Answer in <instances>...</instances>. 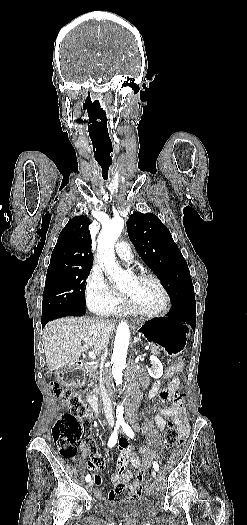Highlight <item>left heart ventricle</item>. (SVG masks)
I'll return each instance as SVG.
<instances>
[{
  "instance_id": "1",
  "label": "left heart ventricle",
  "mask_w": 247,
  "mask_h": 525,
  "mask_svg": "<svg viewBox=\"0 0 247 525\" xmlns=\"http://www.w3.org/2000/svg\"><path fill=\"white\" fill-rule=\"evenodd\" d=\"M128 270L127 262L123 264ZM123 290L144 303L148 308L156 309L163 305L164 295L154 280L150 278H130L123 286Z\"/></svg>"
}]
</instances>
